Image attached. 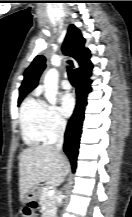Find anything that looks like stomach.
<instances>
[{
    "instance_id": "obj_1",
    "label": "stomach",
    "mask_w": 132,
    "mask_h": 217,
    "mask_svg": "<svg viewBox=\"0 0 132 217\" xmlns=\"http://www.w3.org/2000/svg\"><path fill=\"white\" fill-rule=\"evenodd\" d=\"M41 194V187L39 185L33 186L29 192L26 194L24 201L30 203L37 201Z\"/></svg>"
}]
</instances>
